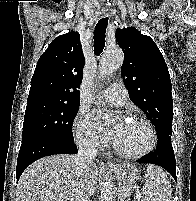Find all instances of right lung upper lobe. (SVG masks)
I'll use <instances>...</instances> for the list:
<instances>
[{"label":"right lung upper lobe","mask_w":196,"mask_h":201,"mask_svg":"<svg viewBox=\"0 0 196 201\" xmlns=\"http://www.w3.org/2000/svg\"><path fill=\"white\" fill-rule=\"evenodd\" d=\"M84 64L79 33L71 31L60 35L50 43L37 62L28 100L80 102L78 88Z\"/></svg>","instance_id":"obj_1"}]
</instances>
